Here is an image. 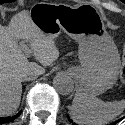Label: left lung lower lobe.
Here are the masks:
<instances>
[{"mask_svg":"<svg viewBox=\"0 0 125 125\" xmlns=\"http://www.w3.org/2000/svg\"><path fill=\"white\" fill-rule=\"evenodd\" d=\"M123 118H125V116H124ZM123 118H122V119H123ZM70 122H72V120H70ZM114 124H115V123H112L111 125H114ZM73 125H76V124H75V123H73Z\"/></svg>","mask_w":125,"mask_h":125,"instance_id":"1","label":"left lung lower lobe"}]
</instances>
